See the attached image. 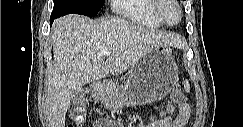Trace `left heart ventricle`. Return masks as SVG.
I'll return each instance as SVG.
<instances>
[{
	"label": "left heart ventricle",
	"mask_w": 243,
	"mask_h": 127,
	"mask_svg": "<svg viewBox=\"0 0 243 127\" xmlns=\"http://www.w3.org/2000/svg\"><path fill=\"white\" fill-rule=\"evenodd\" d=\"M163 15L169 22H175L179 18L178 8L173 3H168L163 8Z\"/></svg>",
	"instance_id": "left-heart-ventricle-1"
}]
</instances>
